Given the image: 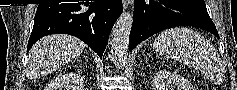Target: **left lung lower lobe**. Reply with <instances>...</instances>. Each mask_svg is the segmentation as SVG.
I'll list each match as a JSON object with an SVG mask.
<instances>
[{
  "mask_svg": "<svg viewBox=\"0 0 237 90\" xmlns=\"http://www.w3.org/2000/svg\"><path fill=\"white\" fill-rule=\"evenodd\" d=\"M176 26L198 27L219 38L203 0H135L129 50L153 34Z\"/></svg>",
  "mask_w": 237,
  "mask_h": 90,
  "instance_id": "1",
  "label": "left lung lower lobe"
}]
</instances>
